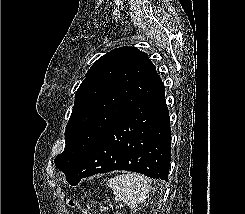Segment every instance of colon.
I'll return each instance as SVG.
<instances>
[{
  "label": "colon",
  "mask_w": 245,
  "mask_h": 214,
  "mask_svg": "<svg viewBox=\"0 0 245 214\" xmlns=\"http://www.w3.org/2000/svg\"><path fill=\"white\" fill-rule=\"evenodd\" d=\"M83 214H91V213H89V212H87V211H83Z\"/></svg>",
  "instance_id": "5ec220e1"
}]
</instances>
